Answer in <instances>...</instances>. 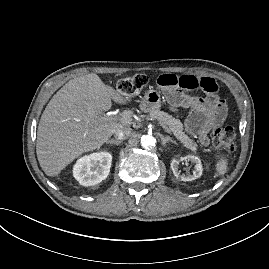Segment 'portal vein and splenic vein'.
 <instances>
[{
    "mask_svg": "<svg viewBox=\"0 0 269 269\" xmlns=\"http://www.w3.org/2000/svg\"><path fill=\"white\" fill-rule=\"evenodd\" d=\"M107 118L114 121L118 120V116L115 113L108 114ZM161 126L166 130V127L163 124H161Z\"/></svg>",
    "mask_w": 269,
    "mask_h": 269,
    "instance_id": "1",
    "label": "portal vein and splenic vein"
}]
</instances>
